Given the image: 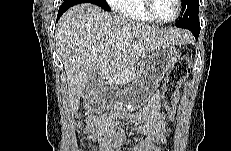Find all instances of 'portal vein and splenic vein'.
Instances as JSON below:
<instances>
[{
  "label": "portal vein and splenic vein",
  "instance_id": "obj_1",
  "mask_svg": "<svg viewBox=\"0 0 231 151\" xmlns=\"http://www.w3.org/2000/svg\"><path fill=\"white\" fill-rule=\"evenodd\" d=\"M117 47H118L119 49H121V48H123V45H122V44H117Z\"/></svg>",
  "mask_w": 231,
  "mask_h": 151
}]
</instances>
